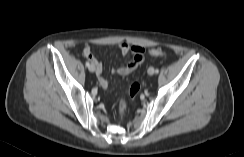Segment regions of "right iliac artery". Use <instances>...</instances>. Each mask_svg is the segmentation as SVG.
Wrapping results in <instances>:
<instances>
[{"label": "right iliac artery", "instance_id": "obj_1", "mask_svg": "<svg viewBox=\"0 0 244 157\" xmlns=\"http://www.w3.org/2000/svg\"><path fill=\"white\" fill-rule=\"evenodd\" d=\"M86 66L89 67L90 66V63L88 61H86Z\"/></svg>", "mask_w": 244, "mask_h": 157}]
</instances>
